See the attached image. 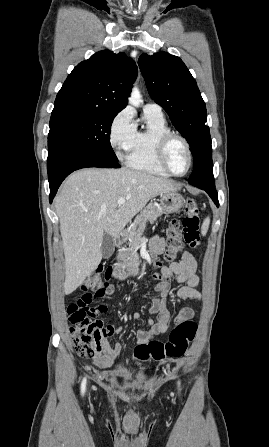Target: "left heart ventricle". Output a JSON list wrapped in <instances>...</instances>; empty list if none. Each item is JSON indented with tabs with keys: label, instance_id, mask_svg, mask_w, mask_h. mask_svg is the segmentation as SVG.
<instances>
[{
	"label": "left heart ventricle",
	"instance_id": "obj_1",
	"mask_svg": "<svg viewBox=\"0 0 269 447\" xmlns=\"http://www.w3.org/2000/svg\"><path fill=\"white\" fill-rule=\"evenodd\" d=\"M168 161L176 172H183L188 165V155L185 146L180 141H174L168 150Z\"/></svg>",
	"mask_w": 269,
	"mask_h": 447
}]
</instances>
